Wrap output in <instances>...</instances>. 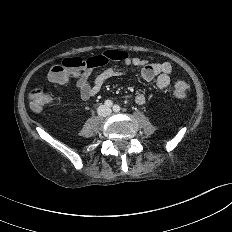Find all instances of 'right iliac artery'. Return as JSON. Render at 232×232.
<instances>
[{"mask_svg": "<svg viewBox=\"0 0 232 232\" xmlns=\"http://www.w3.org/2000/svg\"><path fill=\"white\" fill-rule=\"evenodd\" d=\"M105 105H106L107 107H111V106L113 105V102H112L111 100H106V101H105Z\"/></svg>", "mask_w": 232, "mask_h": 232, "instance_id": "right-iliac-artery-1", "label": "right iliac artery"}]
</instances>
